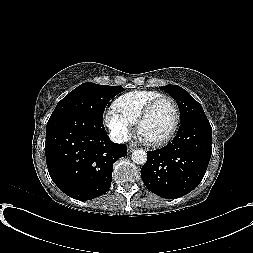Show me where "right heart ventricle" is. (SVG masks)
<instances>
[{"instance_id":"obj_1","label":"right heart ventricle","mask_w":253,"mask_h":253,"mask_svg":"<svg viewBox=\"0 0 253 253\" xmlns=\"http://www.w3.org/2000/svg\"><path fill=\"white\" fill-rule=\"evenodd\" d=\"M161 96H163V94L157 91H131L121 95L115 100L114 109L131 125H134L146 105Z\"/></svg>"}]
</instances>
